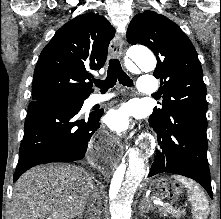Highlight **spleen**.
Returning a JSON list of instances; mask_svg holds the SVG:
<instances>
[{
    "mask_svg": "<svg viewBox=\"0 0 221 219\" xmlns=\"http://www.w3.org/2000/svg\"><path fill=\"white\" fill-rule=\"evenodd\" d=\"M173 178L188 188V200L192 204L194 219H207L210 212L209 202L198 184L179 175H174Z\"/></svg>",
    "mask_w": 221,
    "mask_h": 219,
    "instance_id": "spleen-1",
    "label": "spleen"
}]
</instances>
